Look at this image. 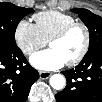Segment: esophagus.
I'll return each mask as SVG.
<instances>
[{"label": "esophagus", "instance_id": "esophagus-1", "mask_svg": "<svg viewBox=\"0 0 102 102\" xmlns=\"http://www.w3.org/2000/svg\"><path fill=\"white\" fill-rule=\"evenodd\" d=\"M52 75V73L50 72H45V71H40L39 72V77L40 79H48L50 76Z\"/></svg>", "mask_w": 102, "mask_h": 102}]
</instances>
